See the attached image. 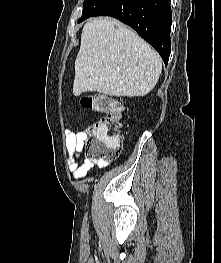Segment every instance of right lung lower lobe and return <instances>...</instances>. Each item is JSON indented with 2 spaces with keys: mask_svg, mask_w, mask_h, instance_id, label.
I'll list each match as a JSON object with an SVG mask.
<instances>
[{
  "mask_svg": "<svg viewBox=\"0 0 221 263\" xmlns=\"http://www.w3.org/2000/svg\"><path fill=\"white\" fill-rule=\"evenodd\" d=\"M111 16L131 26L167 65L171 53L172 13L169 0H108L93 16Z\"/></svg>",
  "mask_w": 221,
  "mask_h": 263,
  "instance_id": "right-lung-lower-lobe-1",
  "label": "right lung lower lobe"
}]
</instances>
